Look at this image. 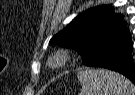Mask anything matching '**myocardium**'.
<instances>
[{"instance_id":"myocardium-1","label":"myocardium","mask_w":135,"mask_h":95,"mask_svg":"<svg viewBox=\"0 0 135 95\" xmlns=\"http://www.w3.org/2000/svg\"><path fill=\"white\" fill-rule=\"evenodd\" d=\"M70 59V54L66 50L55 52L48 60V65L52 68H58L64 65Z\"/></svg>"}]
</instances>
